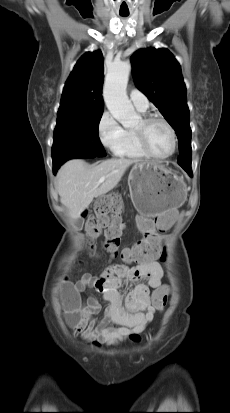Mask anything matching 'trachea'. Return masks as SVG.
<instances>
[{
  "instance_id": "1",
  "label": "trachea",
  "mask_w": 230,
  "mask_h": 413,
  "mask_svg": "<svg viewBox=\"0 0 230 413\" xmlns=\"http://www.w3.org/2000/svg\"><path fill=\"white\" fill-rule=\"evenodd\" d=\"M129 14H126V13H121L120 14V16H122V17H127Z\"/></svg>"
}]
</instances>
